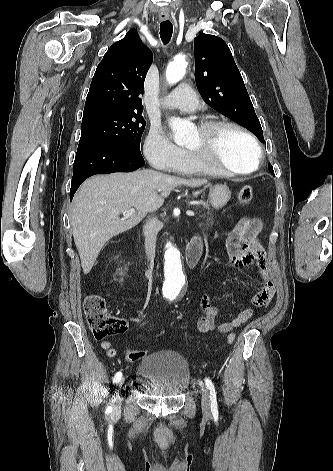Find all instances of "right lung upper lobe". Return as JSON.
Returning a JSON list of instances; mask_svg holds the SVG:
<instances>
[{
	"mask_svg": "<svg viewBox=\"0 0 333 471\" xmlns=\"http://www.w3.org/2000/svg\"><path fill=\"white\" fill-rule=\"evenodd\" d=\"M152 52L131 29L114 43L97 66L86 98L83 118L121 110H143L144 80Z\"/></svg>",
	"mask_w": 333,
	"mask_h": 471,
	"instance_id": "right-lung-upper-lobe-1",
	"label": "right lung upper lobe"
}]
</instances>
